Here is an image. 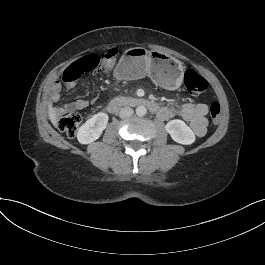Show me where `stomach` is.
<instances>
[{
  "instance_id": "1",
  "label": "stomach",
  "mask_w": 265,
  "mask_h": 265,
  "mask_svg": "<svg viewBox=\"0 0 265 265\" xmlns=\"http://www.w3.org/2000/svg\"><path fill=\"white\" fill-rule=\"evenodd\" d=\"M183 65L169 54L148 51L143 47L130 48L124 52L117 67L120 79H139L149 76L158 85L175 90L181 86Z\"/></svg>"
}]
</instances>
